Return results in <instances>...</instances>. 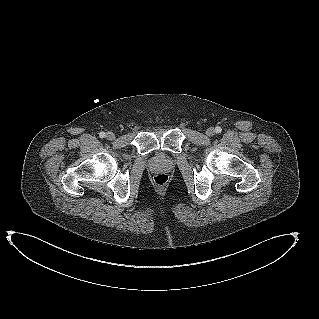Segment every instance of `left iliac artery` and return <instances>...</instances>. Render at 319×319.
<instances>
[{"mask_svg": "<svg viewBox=\"0 0 319 319\" xmlns=\"http://www.w3.org/2000/svg\"><path fill=\"white\" fill-rule=\"evenodd\" d=\"M221 131H222L221 127L217 126V127L215 128V132H216V133H221Z\"/></svg>", "mask_w": 319, "mask_h": 319, "instance_id": "left-iliac-artery-1", "label": "left iliac artery"}]
</instances>
